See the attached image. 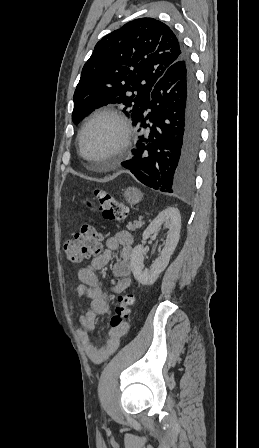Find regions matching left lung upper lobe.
<instances>
[{"instance_id": "5c2ea615", "label": "left lung upper lobe", "mask_w": 259, "mask_h": 448, "mask_svg": "<svg viewBox=\"0 0 259 448\" xmlns=\"http://www.w3.org/2000/svg\"><path fill=\"white\" fill-rule=\"evenodd\" d=\"M182 55L171 28L153 18L130 21L106 35L82 69L73 122L108 104L124 105L131 117L148 105L154 85Z\"/></svg>"}]
</instances>
